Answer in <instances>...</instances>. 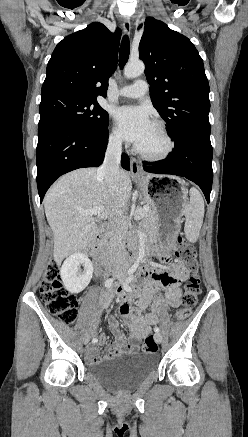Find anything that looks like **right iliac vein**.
Instances as JSON below:
<instances>
[{"label": "right iliac vein", "mask_w": 248, "mask_h": 437, "mask_svg": "<svg viewBox=\"0 0 248 437\" xmlns=\"http://www.w3.org/2000/svg\"><path fill=\"white\" fill-rule=\"evenodd\" d=\"M89 340H90V335H89V334H86V335L83 337V343H84V344H87V343L89 342Z\"/></svg>", "instance_id": "1"}]
</instances>
